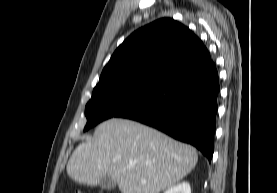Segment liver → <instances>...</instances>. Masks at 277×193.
Masks as SVG:
<instances>
[{
	"label": "liver",
	"mask_w": 277,
	"mask_h": 193,
	"mask_svg": "<svg viewBox=\"0 0 277 193\" xmlns=\"http://www.w3.org/2000/svg\"><path fill=\"white\" fill-rule=\"evenodd\" d=\"M94 137L81 143L67 164L72 180L90 186L108 176L121 193H160L189 174L198 161L190 145L131 120L109 119L96 128Z\"/></svg>",
	"instance_id": "1"
}]
</instances>
